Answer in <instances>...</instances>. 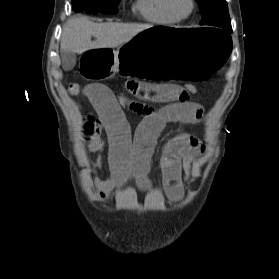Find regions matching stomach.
<instances>
[{"instance_id":"0dacf381","label":"stomach","mask_w":279,"mask_h":279,"mask_svg":"<svg viewBox=\"0 0 279 279\" xmlns=\"http://www.w3.org/2000/svg\"><path fill=\"white\" fill-rule=\"evenodd\" d=\"M204 27L149 25L117 49L81 50L75 75L83 82H105L120 72L148 82H214L229 63L233 44L224 40L229 34L209 30L218 24Z\"/></svg>"}]
</instances>
